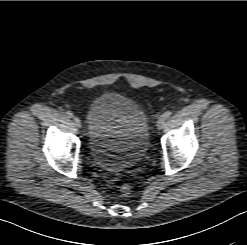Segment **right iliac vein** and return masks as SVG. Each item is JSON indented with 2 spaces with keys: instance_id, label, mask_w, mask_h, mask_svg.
I'll use <instances>...</instances> for the list:
<instances>
[{
  "instance_id": "right-iliac-vein-1",
  "label": "right iliac vein",
  "mask_w": 247,
  "mask_h": 245,
  "mask_svg": "<svg viewBox=\"0 0 247 245\" xmlns=\"http://www.w3.org/2000/svg\"><path fill=\"white\" fill-rule=\"evenodd\" d=\"M73 121L77 128L81 127V120L78 117H73Z\"/></svg>"
}]
</instances>
